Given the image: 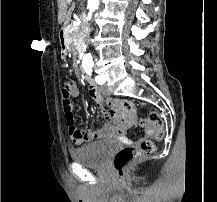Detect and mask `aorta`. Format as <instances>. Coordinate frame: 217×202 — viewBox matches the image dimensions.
Wrapping results in <instances>:
<instances>
[{
	"instance_id": "1",
	"label": "aorta",
	"mask_w": 217,
	"mask_h": 202,
	"mask_svg": "<svg viewBox=\"0 0 217 202\" xmlns=\"http://www.w3.org/2000/svg\"><path fill=\"white\" fill-rule=\"evenodd\" d=\"M99 4V0H88L89 12H95V10H98ZM84 58L85 60H91L90 54H85Z\"/></svg>"
}]
</instances>
